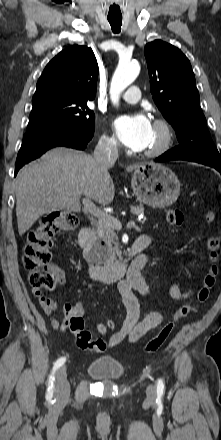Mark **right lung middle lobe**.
I'll list each match as a JSON object with an SVG mask.
<instances>
[{
  "mask_svg": "<svg viewBox=\"0 0 221 440\" xmlns=\"http://www.w3.org/2000/svg\"><path fill=\"white\" fill-rule=\"evenodd\" d=\"M41 129L93 136L95 115L86 103L46 102L33 105L27 132Z\"/></svg>",
  "mask_w": 221,
  "mask_h": 440,
  "instance_id": "1",
  "label": "right lung middle lobe"
}]
</instances>
